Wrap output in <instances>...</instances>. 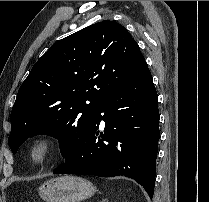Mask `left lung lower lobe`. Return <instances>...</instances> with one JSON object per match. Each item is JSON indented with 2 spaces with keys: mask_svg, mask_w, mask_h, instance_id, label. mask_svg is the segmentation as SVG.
I'll list each match as a JSON object with an SVG mask.
<instances>
[{
  "mask_svg": "<svg viewBox=\"0 0 209 202\" xmlns=\"http://www.w3.org/2000/svg\"><path fill=\"white\" fill-rule=\"evenodd\" d=\"M159 118L157 92L145 64L97 104L84 138L53 173L125 176L141 184L152 199ZM102 120L104 132H99Z\"/></svg>",
  "mask_w": 209,
  "mask_h": 202,
  "instance_id": "1",
  "label": "left lung lower lobe"
}]
</instances>
